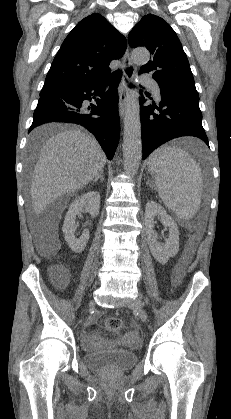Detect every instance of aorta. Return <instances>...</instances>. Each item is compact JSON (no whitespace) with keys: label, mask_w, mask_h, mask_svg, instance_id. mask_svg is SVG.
I'll return each instance as SVG.
<instances>
[{"label":"aorta","mask_w":231,"mask_h":419,"mask_svg":"<svg viewBox=\"0 0 231 419\" xmlns=\"http://www.w3.org/2000/svg\"><path fill=\"white\" fill-rule=\"evenodd\" d=\"M131 58L137 64H145L150 59V53L146 49H135ZM141 158L142 141L139 97L136 91H132L127 97L124 116L123 164L127 175L134 176L138 172Z\"/></svg>","instance_id":"aorta-1"}]
</instances>
